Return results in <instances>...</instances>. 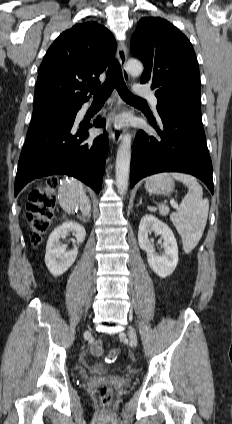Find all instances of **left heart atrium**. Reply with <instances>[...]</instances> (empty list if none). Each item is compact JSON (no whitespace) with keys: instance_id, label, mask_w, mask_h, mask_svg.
<instances>
[{"instance_id":"1","label":"left heart atrium","mask_w":232,"mask_h":424,"mask_svg":"<svg viewBox=\"0 0 232 424\" xmlns=\"http://www.w3.org/2000/svg\"><path fill=\"white\" fill-rule=\"evenodd\" d=\"M125 122H126V120H125L124 117L118 116V117H115L113 119H110L108 124H107V127L110 128V130L115 129V128L120 129L125 125Z\"/></svg>"}]
</instances>
